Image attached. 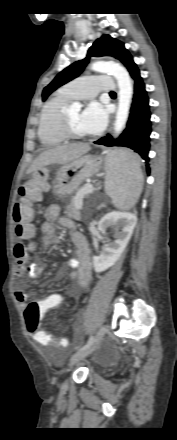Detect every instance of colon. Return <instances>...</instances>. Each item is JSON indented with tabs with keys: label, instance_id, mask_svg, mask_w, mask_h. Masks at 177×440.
<instances>
[{
	"label": "colon",
	"instance_id": "5ec220e1",
	"mask_svg": "<svg viewBox=\"0 0 177 440\" xmlns=\"http://www.w3.org/2000/svg\"><path fill=\"white\" fill-rule=\"evenodd\" d=\"M47 189V174L45 171L37 173L32 179L25 182L19 188V200L15 203L12 218L15 222L14 232L20 238L32 235L33 203L41 199V193ZM27 253L25 245L19 243ZM65 303L64 298H33L23 312L26 327L32 334L31 339L39 342V346L45 348L51 346V352H61L68 344V339L58 338L56 334H49L48 330H39L40 322L48 311H58Z\"/></svg>",
	"mask_w": 177,
	"mask_h": 440
}]
</instances>
